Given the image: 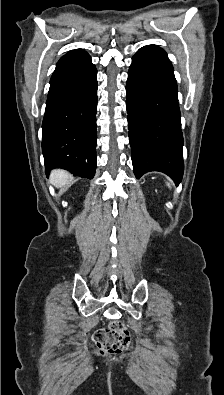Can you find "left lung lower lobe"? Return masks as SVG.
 Listing matches in <instances>:
<instances>
[{"mask_svg": "<svg viewBox=\"0 0 224 395\" xmlns=\"http://www.w3.org/2000/svg\"><path fill=\"white\" fill-rule=\"evenodd\" d=\"M173 66L166 52L147 45L132 58L126 83L129 142L136 178L149 171L183 176V136Z\"/></svg>", "mask_w": 224, "mask_h": 395, "instance_id": "1", "label": "left lung lower lobe"}]
</instances>
